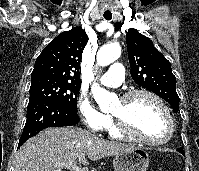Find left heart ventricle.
<instances>
[{
	"mask_svg": "<svg viewBox=\"0 0 199 171\" xmlns=\"http://www.w3.org/2000/svg\"><path fill=\"white\" fill-rule=\"evenodd\" d=\"M124 112L133 129L152 140H163L169 132L168 120L162 108L150 97L137 96L127 104L117 102L112 113Z\"/></svg>",
	"mask_w": 199,
	"mask_h": 171,
	"instance_id": "1",
	"label": "left heart ventricle"
}]
</instances>
